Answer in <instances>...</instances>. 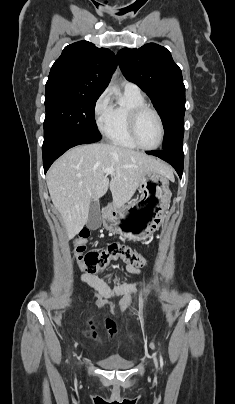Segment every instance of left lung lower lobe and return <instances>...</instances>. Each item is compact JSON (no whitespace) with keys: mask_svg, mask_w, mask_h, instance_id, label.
Segmentation results:
<instances>
[{"mask_svg":"<svg viewBox=\"0 0 235 404\" xmlns=\"http://www.w3.org/2000/svg\"><path fill=\"white\" fill-rule=\"evenodd\" d=\"M147 154L157 156L170 163L178 173L179 177L183 174L184 154L182 147L163 149L161 151H148Z\"/></svg>","mask_w":235,"mask_h":404,"instance_id":"1","label":"left lung lower lobe"}]
</instances>
